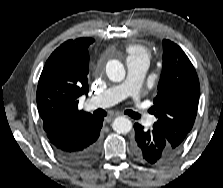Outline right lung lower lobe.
Instances as JSON below:
<instances>
[{
  "label": "right lung lower lobe",
  "mask_w": 223,
  "mask_h": 188,
  "mask_svg": "<svg viewBox=\"0 0 223 188\" xmlns=\"http://www.w3.org/2000/svg\"><path fill=\"white\" fill-rule=\"evenodd\" d=\"M103 118H93L78 126L47 133L57 156L70 166H86L99 154L100 130Z\"/></svg>",
  "instance_id": "98d812e1"
}]
</instances>
